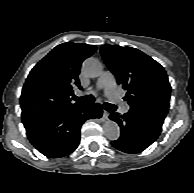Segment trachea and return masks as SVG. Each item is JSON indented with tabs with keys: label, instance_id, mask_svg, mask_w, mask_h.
I'll use <instances>...</instances> for the list:
<instances>
[{
	"label": "trachea",
	"instance_id": "1",
	"mask_svg": "<svg viewBox=\"0 0 194 193\" xmlns=\"http://www.w3.org/2000/svg\"><path fill=\"white\" fill-rule=\"evenodd\" d=\"M73 99L77 102H81V103H84L86 105H92L94 103V96L93 95H86L83 97L74 96ZM103 106H104V109L109 111V112H113L117 109V107L115 105L107 103V102H105L103 104Z\"/></svg>",
	"mask_w": 194,
	"mask_h": 193
}]
</instances>
